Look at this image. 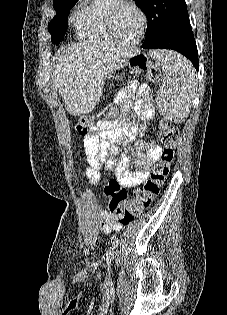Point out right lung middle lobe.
<instances>
[{
	"label": "right lung middle lobe",
	"mask_w": 227,
	"mask_h": 315,
	"mask_svg": "<svg viewBox=\"0 0 227 315\" xmlns=\"http://www.w3.org/2000/svg\"><path fill=\"white\" fill-rule=\"evenodd\" d=\"M78 0H57L53 2L56 16L48 25L51 41L54 44H59L62 37L67 31L69 10L76 4Z\"/></svg>",
	"instance_id": "obj_1"
}]
</instances>
